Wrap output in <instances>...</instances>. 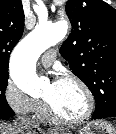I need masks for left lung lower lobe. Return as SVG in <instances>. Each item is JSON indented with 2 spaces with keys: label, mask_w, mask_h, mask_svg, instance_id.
Returning <instances> with one entry per match:
<instances>
[{
  "label": "left lung lower lobe",
  "mask_w": 116,
  "mask_h": 134,
  "mask_svg": "<svg viewBox=\"0 0 116 134\" xmlns=\"http://www.w3.org/2000/svg\"><path fill=\"white\" fill-rule=\"evenodd\" d=\"M108 117H116V110H111L105 113H94L93 119H102V118H108Z\"/></svg>",
  "instance_id": "obj_1"
}]
</instances>
